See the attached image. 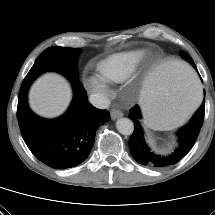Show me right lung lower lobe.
Returning <instances> with one entry per match:
<instances>
[{
    "mask_svg": "<svg viewBox=\"0 0 215 215\" xmlns=\"http://www.w3.org/2000/svg\"><path fill=\"white\" fill-rule=\"evenodd\" d=\"M73 100L67 112L56 119H44L28 107L17 118L22 137L44 164L55 169L75 167L83 162L92 150L95 133L110 120L107 110L93 107L78 80L71 81Z\"/></svg>",
    "mask_w": 215,
    "mask_h": 215,
    "instance_id": "1",
    "label": "right lung lower lobe"
}]
</instances>
